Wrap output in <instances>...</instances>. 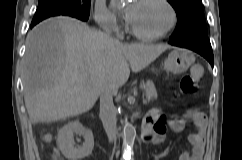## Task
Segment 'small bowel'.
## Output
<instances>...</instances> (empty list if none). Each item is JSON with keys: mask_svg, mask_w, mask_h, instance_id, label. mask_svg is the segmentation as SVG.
I'll return each instance as SVG.
<instances>
[{"mask_svg": "<svg viewBox=\"0 0 242 160\" xmlns=\"http://www.w3.org/2000/svg\"><path fill=\"white\" fill-rule=\"evenodd\" d=\"M186 118L191 120L195 126L194 131L189 135V142L192 146L191 152L181 154L179 160H202L205 147L204 130L206 121L202 114L190 112ZM143 126V141L153 145H160L164 142L165 133L169 129L172 132L179 133L184 128V119L171 118L164 125V131L160 132L154 128V119L152 116H146L142 122Z\"/></svg>", "mask_w": 242, "mask_h": 160, "instance_id": "obj_1", "label": "small bowel"}]
</instances>
